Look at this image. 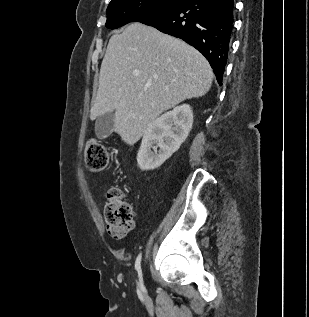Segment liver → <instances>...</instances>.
Instances as JSON below:
<instances>
[{
	"label": "liver",
	"mask_w": 309,
	"mask_h": 317,
	"mask_svg": "<svg viewBox=\"0 0 309 317\" xmlns=\"http://www.w3.org/2000/svg\"><path fill=\"white\" fill-rule=\"evenodd\" d=\"M212 81L211 66L196 49L151 26L131 23L109 40L90 119L114 112L113 130L134 145L162 112L204 96Z\"/></svg>",
	"instance_id": "6515ba94"
}]
</instances>
